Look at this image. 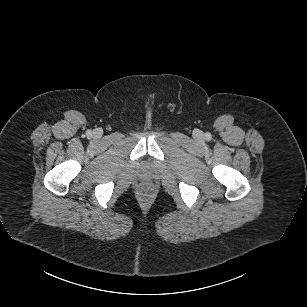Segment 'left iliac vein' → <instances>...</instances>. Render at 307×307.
Instances as JSON below:
<instances>
[{
	"instance_id": "1",
	"label": "left iliac vein",
	"mask_w": 307,
	"mask_h": 307,
	"mask_svg": "<svg viewBox=\"0 0 307 307\" xmlns=\"http://www.w3.org/2000/svg\"><path fill=\"white\" fill-rule=\"evenodd\" d=\"M196 135H197L198 138H201V134L200 133H197Z\"/></svg>"
}]
</instances>
